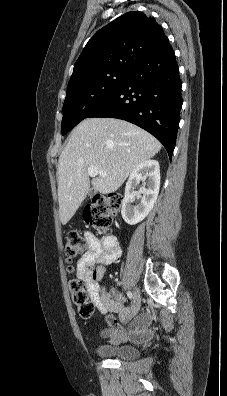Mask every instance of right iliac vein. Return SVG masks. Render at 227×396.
Here are the masks:
<instances>
[{"label":"right iliac vein","instance_id":"1","mask_svg":"<svg viewBox=\"0 0 227 396\" xmlns=\"http://www.w3.org/2000/svg\"><path fill=\"white\" fill-rule=\"evenodd\" d=\"M140 306H141V295H140L139 290L137 288H135L134 293H133V302H132V306H131V315L132 316L136 315L139 312Z\"/></svg>","mask_w":227,"mask_h":396}]
</instances>
